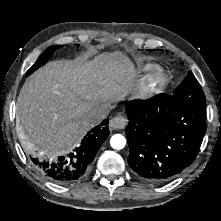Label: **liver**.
<instances>
[{
	"label": "liver",
	"mask_w": 221,
	"mask_h": 221,
	"mask_svg": "<svg viewBox=\"0 0 221 221\" xmlns=\"http://www.w3.org/2000/svg\"><path fill=\"white\" fill-rule=\"evenodd\" d=\"M136 78L134 63L119 51L102 53L91 61L47 63L26 80L18 96L22 143L29 150L35 144L48 150H71L94 125L87 119L89 110L123 100Z\"/></svg>",
	"instance_id": "6515ba94"
}]
</instances>
